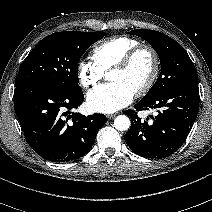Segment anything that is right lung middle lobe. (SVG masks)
<instances>
[{"instance_id": "1", "label": "right lung middle lobe", "mask_w": 212, "mask_h": 212, "mask_svg": "<svg viewBox=\"0 0 212 212\" xmlns=\"http://www.w3.org/2000/svg\"><path fill=\"white\" fill-rule=\"evenodd\" d=\"M104 32L66 31L43 38L22 63L15 86L48 83L69 93H82L78 85V63L83 53Z\"/></svg>"}]
</instances>
